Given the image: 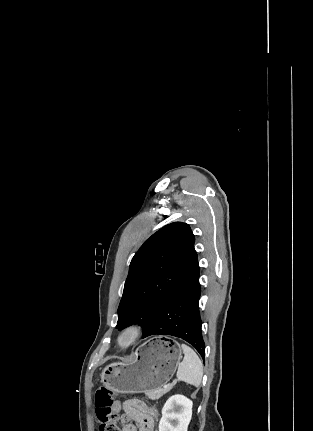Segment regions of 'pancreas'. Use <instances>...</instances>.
I'll list each match as a JSON object with an SVG mask.
<instances>
[{
  "label": "pancreas",
  "mask_w": 313,
  "mask_h": 431,
  "mask_svg": "<svg viewBox=\"0 0 313 431\" xmlns=\"http://www.w3.org/2000/svg\"><path fill=\"white\" fill-rule=\"evenodd\" d=\"M173 388V384H170L162 389H156L145 392V394L151 399V400H158L163 395L168 393Z\"/></svg>",
  "instance_id": "1"
}]
</instances>
